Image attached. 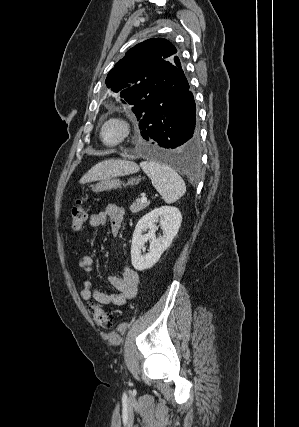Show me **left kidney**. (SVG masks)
Listing matches in <instances>:
<instances>
[{
    "label": "left kidney",
    "mask_w": 299,
    "mask_h": 427,
    "mask_svg": "<svg viewBox=\"0 0 299 427\" xmlns=\"http://www.w3.org/2000/svg\"><path fill=\"white\" fill-rule=\"evenodd\" d=\"M160 220L162 236L156 238V223ZM182 216L178 208L161 206L144 215L137 223L131 246V261L138 271L151 268L169 248L181 226ZM148 233L143 234V232ZM149 241L150 247L147 254H141L144 244Z\"/></svg>",
    "instance_id": "5707ae66"
}]
</instances>
